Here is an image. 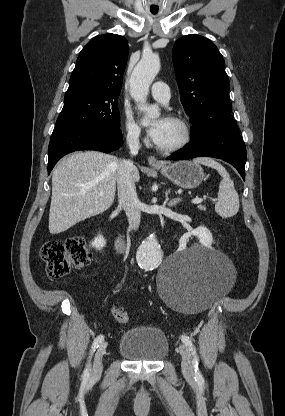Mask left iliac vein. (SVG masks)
Segmentation results:
<instances>
[{
  "label": "left iliac vein",
  "mask_w": 285,
  "mask_h": 416,
  "mask_svg": "<svg viewBox=\"0 0 285 416\" xmlns=\"http://www.w3.org/2000/svg\"><path fill=\"white\" fill-rule=\"evenodd\" d=\"M179 352L182 357V370L185 375L188 377L193 376V368L191 363V354L189 352V349L183 345H179Z\"/></svg>",
  "instance_id": "1"
}]
</instances>
